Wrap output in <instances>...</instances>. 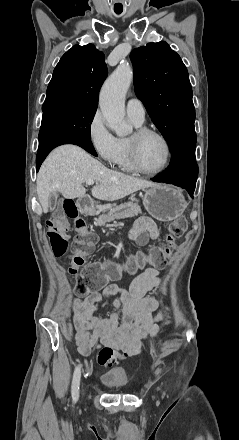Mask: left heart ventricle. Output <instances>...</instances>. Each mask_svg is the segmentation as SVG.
<instances>
[{"mask_svg":"<svg viewBox=\"0 0 239 440\" xmlns=\"http://www.w3.org/2000/svg\"><path fill=\"white\" fill-rule=\"evenodd\" d=\"M134 132L129 136L132 138ZM139 159L142 166L149 171L160 169L166 161V147L163 141L154 136L148 135L137 141Z\"/></svg>","mask_w":239,"mask_h":440,"instance_id":"b2bd125f","label":"left heart ventricle"}]
</instances>
